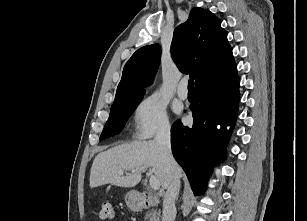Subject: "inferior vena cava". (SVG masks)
Listing matches in <instances>:
<instances>
[{"instance_id":"1","label":"inferior vena cava","mask_w":307,"mask_h":221,"mask_svg":"<svg viewBox=\"0 0 307 221\" xmlns=\"http://www.w3.org/2000/svg\"><path fill=\"white\" fill-rule=\"evenodd\" d=\"M170 126L163 125L161 126L155 136V141L157 145L161 148L165 155L167 166L170 170L169 175V185L163 200V214L162 221H174L176 217V206L175 199L178 196L180 189V178L177 175L176 161L173 158L171 152V143H170Z\"/></svg>"}]
</instances>
